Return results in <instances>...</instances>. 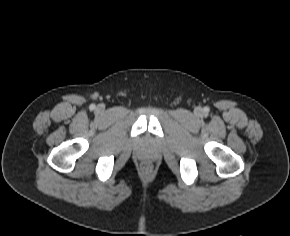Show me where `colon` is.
<instances>
[{
  "label": "colon",
  "mask_w": 290,
  "mask_h": 236,
  "mask_svg": "<svg viewBox=\"0 0 290 236\" xmlns=\"http://www.w3.org/2000/svg\"><path fill=\"white\" fill-rule=\"evenodd\" d=\"M149 167H150V165H149V164H147V163H145V164L143 165V168H144L145 170H148V169H149Z\"/></svg>",
  "instance_id": "obj_1"
}]
</instances>
